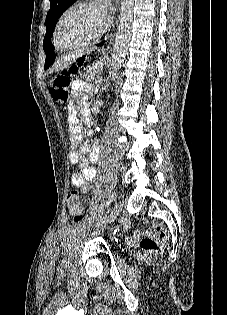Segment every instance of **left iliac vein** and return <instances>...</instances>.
<instances>
[{
  "mask_svg": "<svg viewBox=\"0 0 227 315\" xmlns=\"http://www.w3.org/2000/svg\"><path fill=\"white\" fill-rule=\"evenodd\" d=\"M115 195H116V193H115ZM121 207H122L121 202H117L115 204L114 208L112 209V211H111V213H110V215L108 217V221L109 222H112V221H114L117 218V216L119 215V212L121 210Z\"/></svg>",
  "mask_w": 227,
  "mask_h": 315,
  "instance_id": "obj_1",
  "label": "left iliac vein"
}]
</instances>
